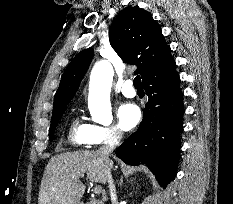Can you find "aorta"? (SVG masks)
<instances>
[{
    "mask_svg": "<svg viewBox=\"0 0 233 204\" xmlns=\"http://www.w3.org/2000/svg\"><path fill=\"white\" fill-rule=\"evenodd\" d=\"M113 67L107 60L97 62L90 75L88 108L94 122L109 125L112 120L110 92Z\"/></svg>",
    "mask_w": 233,
    "mask_h": 204,
    "instance_id": "obj_1",
    "label": "aorta"
}]
</instances>
